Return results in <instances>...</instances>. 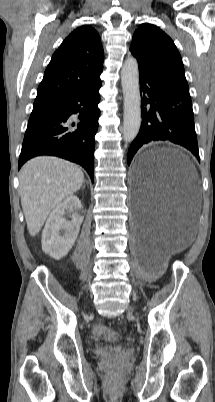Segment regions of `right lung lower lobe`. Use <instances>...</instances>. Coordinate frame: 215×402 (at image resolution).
Masks as SVG:
<instances>
[{"label":"right lung lower lobe","mask_w":215,"mask_h":402,"mask_svg":"<svg viewBox=\"0 0 215 402\" xmlns=\"http://www.w3.org/2000/svg\"><path fill=\"white\" fill-rule=\"evenodd\" d=\"M100 87L99 77L61 98L46 113L28 122L18 168L35 156L53 155L81 165L93 182ZM76 113H79L78 117L74 116Z\"/></svg>","instance_id":"obj_1"}]
</instances>
